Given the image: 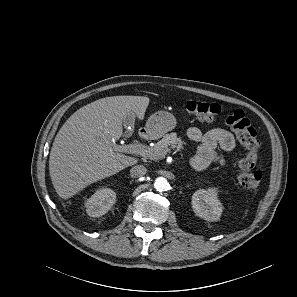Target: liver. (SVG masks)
Listing matches in <instances>:
<instances>
[{
  "label": "liver",
  "instance_id": "liver-1",
  "mask_svg": "<svg viewBox=\"0 0 297 297\" xmlns=\"http://www.w3.org/2000/svg\"><path fill=\"white\" fill-rule=\"evenodd\" d=\"M150 99L112 96L91 102L73 113L57 133L49 156V172L58 196L68 199L80 190L138 162L113 142L123 134L128 114L144 119Z\"/></svg>",
  "mask_w": 297,
  "mask_h": 297
}]
</instances>
